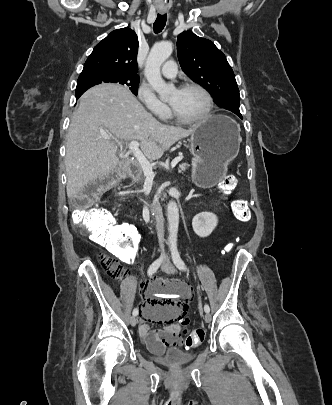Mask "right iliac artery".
<instances>
[{
	"mask_svg": "<svg viewBox=\"0 0 332 405\" xmlns=\"http://www.w3.org/2000/svg\"><path fill=\"white\" fill-rule=\"evenodd\" d=\"M163 259H164V256H161L159 259L155 260L150 265V267L148 268V271H147V274H148L149 277L152 276L157 271V269L160 267ZM138 313H139V310L137 308H135L133 310V316H137Z\"/></svg>",
	"mask_w": 332,
	"mask_h": 405,
	"instance_id": "right-iliac-artery-1",
	"label": "right iliac artery"
}]
</instances>
